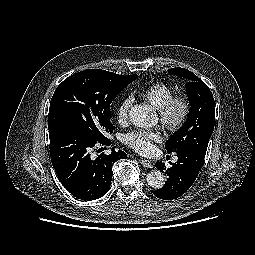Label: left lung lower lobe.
<instances>
[{
  "instance_id": "1",
  "label": "left lung lower lobe",
  "mask_w": 255,
  "mask_h": 255,
  "mask_svg": "<svg viewBox=\"0 0 255 255\" xmlns=\"http://www.w3.org/2000/svg\"><path fill=\"white\" fill-rule=\"evenodd\" d=\"M177 163H171L166 168L162 162L155 166L167 176L165 185L153 194L163 200H172L183 195L194 183L204 162L205 154L199 151L189 150L177 153Z\"/></svg>"
}]
</instances>
